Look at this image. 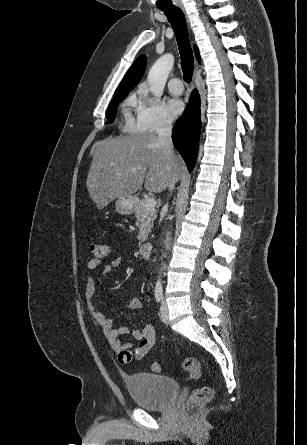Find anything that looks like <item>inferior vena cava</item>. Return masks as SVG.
Returning a JSON list of instances; mask_svg holds the SVG:
<instances>
[{
    "label": "inferior vena cava",
    "mask_w": 307,
    "mask_h": 445,
    "mask_svg": "<svg viewBox=\"0 0 307 445\" xmlns=\"http://www.w3.org/2000/svg\"><path fill=\"white\" fill-rule=\"evenodd\" d=\"M157 132H158V142H160V144H165V146H168V148L172 150L173 148L172 138H171L172 120L171 118H169V116H163L161 124L157 126ZM176 180H177L176 176H173L171 184H169L170 190L174 188ZM167 206L168 204H164V208H167Z\"/></svg>",
    "instance_id": "inferior-vena-cava-1"
}]
</instances>
